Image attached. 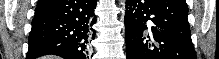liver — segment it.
Instances as JSON below:
<instances>
[{"label": "liver", "mask_w": 219, "mask_h": 59, "mask_svg": "<svg viewBox=\"0 0 219 59\" xmlns=\"http://www.w3.org/2000/svg\"><path fill=\"white\" fill-rule=\"evenodd\" d=\"M42 59H58L57 56H45Z\"/></svg>", "instance_id": "6515ba94"}]
</instances>
